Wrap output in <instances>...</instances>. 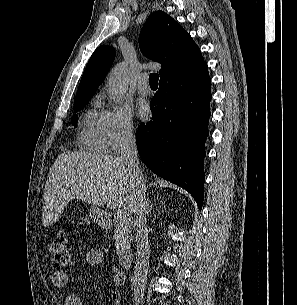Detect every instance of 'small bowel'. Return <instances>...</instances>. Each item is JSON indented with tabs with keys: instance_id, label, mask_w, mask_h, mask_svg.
<instances>
[{
	"instance_id": "1",
	"label": "small bowel",
	"mask_w": 297,
	"mask_h": 305,
	"mask_svg": "<svg viewBox=\"0 0 297 305\" xmlns=\"http://www.w3.org/2000/svg\"><path fill=\"white\" fill-rule=\"evenodd\" d=\"M103 252L97 249H92L85 256V263L90 267H95L103 262ZM113 281L116 285H122L125 281V273L114 267L112 270ZM52 285L55 289L65 290L69 286V277L63 271H56L52 275ZM114 305H123V297L120 290H115L112 294ZM65 305H83L80 296L76 293H68L65 297Z\"/></svg>"
}]
</instances>
